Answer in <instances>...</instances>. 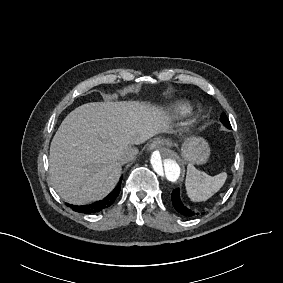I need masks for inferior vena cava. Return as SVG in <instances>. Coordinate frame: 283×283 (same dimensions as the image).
<instances>
[{"label": "inferior vena cava", "instance_id": "obj_1", "mask_svg": "<svg viewBox=\"0 0 283 283\" xmlns=\"http://www.w3.org/2000/svg\"><path fill=\"white\" fill-rule=\"evenodd\" d=\"M138 151V148L134 146L128 147L117 157V161L121 164L130 162L136 158Z\"/></svg>", "mask_w": 283, "mask_h": 283}]
</instances>
